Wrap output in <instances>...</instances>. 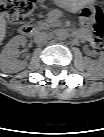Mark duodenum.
Segmentation results:
<instances>
[{"label": "duodenum", "instance_id": "obj_1", "mask_svg": "<svg viewBox=\"0 0 104 137\" xmlns=\"http://www.w3.org/2000/svg\"><path fill=\"white\" fill-rule=\"evenodd\" d=\"M19 32L23 36L30 37L34 34L35 28L32 25L23 24L19 27Z\"/></svg>", "mask_w": 104, "mask_h": 137}]
</instances>
